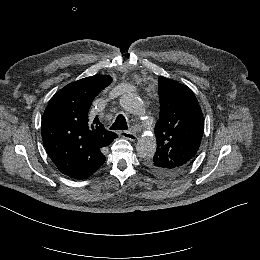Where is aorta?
Instances as JSON below:
<instances>
[{"label":"aorta","instance_id":"obj_1","mask_svg":"<svg viewBox=\"0 0 260 260\" xmlns=\"http://www.w3.org/2000/svg\"><path fill=\"white\" fill-rule=\"evenodd\" d=\"M121 107L134 115H143L145 113L144 103L141 98L132 92L125 93L120 97ZM149 124V120L146 121ZM156 138L154 135H142L136 144V150L141 158H151L156 152Z\"/></svg>","mask_w":260,"mask_h":260}]
</instances>
